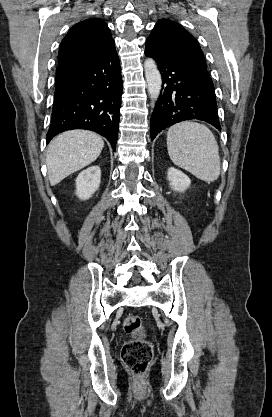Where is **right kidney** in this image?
I'll use <instances>...</instances> for the list:
<instances>
[{"instance_id":"1","label":"right kidney","mask_w":272,"mask_h":417,"mask_svg":"<svg viewBox=\"0 0 272 417\" xmlns=\"http://www.w3.org/2000/svg\"><path fill=\"white\" fill-rule=\"evenodd\" d=\"M101 181V169L99 166H91L82 171L76 178V195L81 200L92 197L98 189Z\"/></svg>"}]
</instances>
